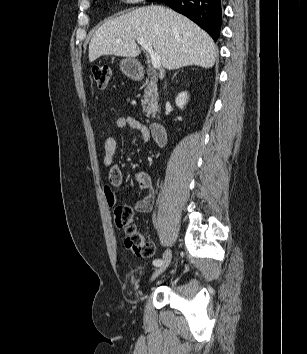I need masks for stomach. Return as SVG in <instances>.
I'll use <instances>...</instances> for the list:
<instances>
[{
  "label": "stomach",
  "mask_w": 307,
  "mask_h": 354,
  "mask_svg": "<svg viewBox=\"0 0 307 354\" xmlns=\"http://www.w3.org/2000/svg\"><path fill=\"white\" fill-rule=\"evenodd\" d=\"M122 72L129 78L137 79L141 75V67L137 60L133 58L123 59L120 63Z\"/></svg>",
  "instance_id": "stomach-1"
}]
</instances>
